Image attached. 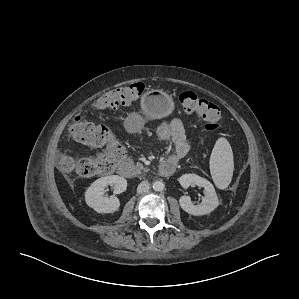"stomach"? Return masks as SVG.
<instances>
[{"label": "stomach", "mask_w": 299, "mask_h": 299, "mask_svg": "<svg viewBox=\"0 0 299 299\" xmlns=\"http://www.w3.org/2000/svg\"><path fill=\"white\" fill-rule=\"evenodd\" d=\"M140 106L147 119L158 120L169 116L175 109L173 98L163 90L151 89L140 100ZM144 125V118L133 113L128 117L127 127L130 131H138Z\"/></svg>", "instance_id": "stomach-1"}]
</instances>
